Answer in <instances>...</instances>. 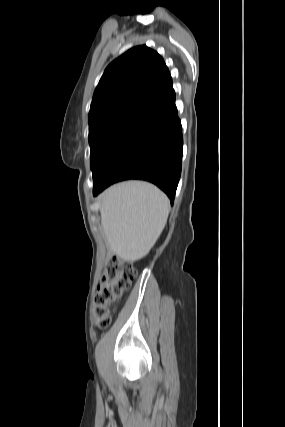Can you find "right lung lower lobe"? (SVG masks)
<instances>
[{
    "label": "right lung lower lobe",
    "mask_w": 285,
    "mask_h": 427,
    "mask_svg": "<svg viewBox=\"0 0 285 427\" xmlns=\"http://www.w3.org/2000/svg\"><path fill=\"white\" fill-rule=\"evenodd\" d=\"M182 127L173 88L151 104L93 177V194L115 182L142 179L156 184L173 204L181 174Z\"/></svg>",
    "instance_id": "1"
}]
</instances>
